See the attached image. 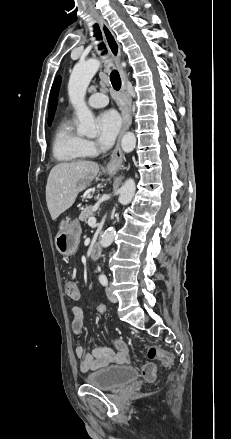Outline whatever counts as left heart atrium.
<instances>
[{"mask_svg": "<svg viewBox=\"0 0 231 439\" xmlns=\"http://www.w3.org/2000/svg\"><path fill=\"white\" fill-rule=\"evenodd\" d=\"M98 130L99 145L104 148H110L121 127V119L114 110L102 112L96 119Z\"/></svg>", "mask_w": 231, "mask_h": 439, "instance_id": "39dd6f15", "label": "left heart atrium"}]
</instances>
